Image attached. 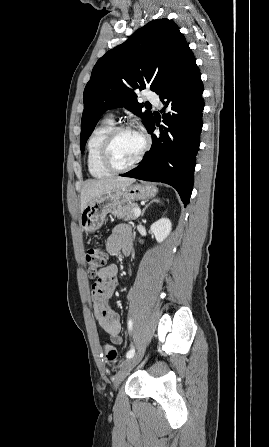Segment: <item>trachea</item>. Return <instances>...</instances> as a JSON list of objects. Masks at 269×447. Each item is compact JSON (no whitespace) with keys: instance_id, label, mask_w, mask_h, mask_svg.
Listing matches in <instances>:
<instances>
[{"instance_id":"obj_1","label":"trachea","mask_w":269,"mask_h":447,"mask_svg":"<svg viewBox=\"0 0 269 447\" xmlns=\"http://www.w3.org/2000/svg\"><path fill=\"white\" fill-rule=\"evenodd\" d=\"M145 105H151V104L147 103V104H145Z\"/></svg>"}]
</instances>
